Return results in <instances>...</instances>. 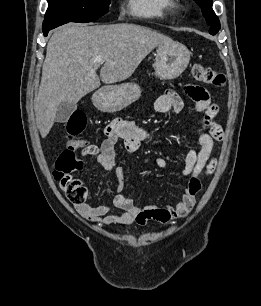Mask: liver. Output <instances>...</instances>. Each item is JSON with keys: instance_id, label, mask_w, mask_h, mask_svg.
<instances>
[{"instance_id": "liver-1", "label": "liver", "mask_w": 261, "mask_h": 306, "mask_svg": "<svg viewBox=\"0 0 261 306\" xmlns=\"http://www.w3.org/2000/svg\"><path fill=\"white\" fill-rule=\"evenodd\" d=\"M172 39L151 29L127 23L86 26L68 23L56 29L47 44L39 91L34 99L41 137L51 130L58 106L77 103L105 84L129 78L157 46ZM104 64L100 78L96 58Z\"/></svg>"}]
</instances>
